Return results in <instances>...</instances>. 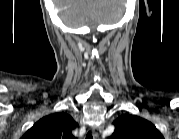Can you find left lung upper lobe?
I'll list each match as a JSON object with an SVG mask.
<instances>
[{"instance_id": "1", "label": "left lung upper lobe", "mask_w": 179, "mask_h": 139, "mask_svg": "<svg viewBox=\"0 0 179 139\" xmlns=\"http://www.w3.org/2000/svg\"><path fill=\"white\" fill-rule=\"evenodd\" d=\"M113 124L115 131L111 139H162L151 122L136 115L123 114Z\"/></svg>"}]
</instances>
